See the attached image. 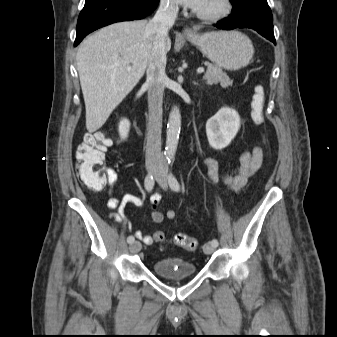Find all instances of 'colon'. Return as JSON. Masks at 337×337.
Returning a JSON list of instances; mask_svg holds the SVG:
<instances>
[{"mask_svg": "<svg viewBox=\"0 0 337 337\" xmlns=\"http://www.w3.org/2000/svg\"><path fill=\"white\" fill-rule=\"evenodd\" d=\"M265 91L262 85L254 87L251 108L252 118L255 123L264 121L263 108ZM112 143L111 139L101 132L87 133L76 151V166L80 179L93 190H100L107 184V175L104 169L106 148ZM155 240L165 246L167 240L163 231L154 233ZM172 243L188 251L198 248V240L184 233H177L172 238Z\"/></svg>", "mask_w": 337, "mask_h": 337, "instance_id": "1", "label": "colon"}]
</instances>
